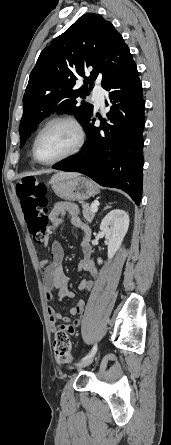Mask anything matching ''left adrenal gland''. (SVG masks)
Masks as SVG:
<instances>
[{
  "instance_id": "1",
  "label": "left adrenal gland",
  "mask_w": 171,
  "mask_h": 445,
  "mask_svg": "<svg viewBox=\"0 0 171 445\" xmlns=\"http://www.w3.org/2000/svg\"><path fill=\"white\" fill-rule=\"evenodd\" d=\"M105 208H109V206L107 205Z\"/></svg>"
}]
</instances>
